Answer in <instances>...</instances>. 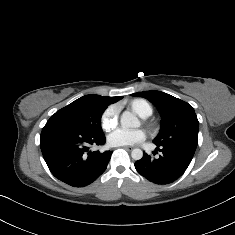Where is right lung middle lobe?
Masks as SVG:
<instances>
[{
  "mask_svg": "<svg viewBox=\"0 0 235 235\" xmlns=\"http://www.w3.org/2000/svg\"><path fill=\"white\" fill-rule=\"evenodd\" d=\"M102 111H93L78 99L58 110L51 121H62L97 135L104 134L101 128Z\"/></svg>",
  "mask_w": 235,
  "mask_h": 235,
  "instance_id": "right-lung-middle-lobe-1",
  "label": "right lung middle lobe"
}]
</instances>
